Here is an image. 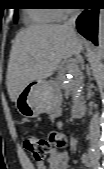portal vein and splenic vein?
Here are the masks:
<instances>
[{"mask_svg":"<svg viewBox=\"0 0 104 169\" xmlns=\"http://www.w3.org/2000/svg\"><path fill=\"white\" fill-rule=\"evenodd\" d=\"M68 69H69V73L76 75V73L78 71V66L73 63H70V64H68Z\"/></svg>","mask_w":104,"mask_h":169,"instance_id":"portal-vein-and-splenic-vein-1","label":"portal vein and splenic vein"}]
</instances>
